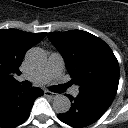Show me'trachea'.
<instances>
[{
  "instance_id": "trachea-1",
  "label": "trachea",
  "mask_w": 128,
  "mask_h": 128,
  "mask_svg": "<svg viewBox=\"0 0 128 128\" xmlns=\"http://www.w3.org/2000/svg\"><path fill=\"white\" fill-rule=\"evenodd\" d=\"M22 85L25 86V87H31L32 84L29 81H24V82H22ZM52 91L57 92V91H54V90H52Z\"/></svg>"
}]
</instances>
